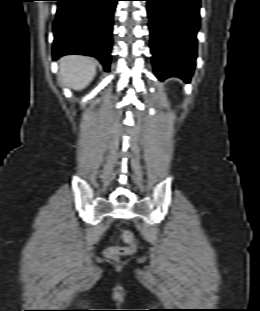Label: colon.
I'll use <instances>...</instances> for the list:
<instances>
[{
	"mask_svg": "<svg viewBox=\"0 0 260 311\" xmlns=\"http://www.w3.org/2000/svg\"><path fill=\"white\" fill-rule=\"evenodd\" d=\"M122 239L124 240V242L127 243V246L125 247L114 246V247L108 248L106 250V255L109 258L116 259V258H119L120 256L134 253L136 249L134 235L130 231L126 230V231H123L122 233Z\"/></svg>",
	"mask_w": 260,
	"mask_h": 311,
	"instance_id": "obj_1",
	"label": "colon"
}]
</instances>
